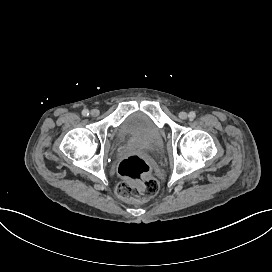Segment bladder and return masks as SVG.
<instances>
[{"instance_id":"1","label":"bladder","mask_w":272,"mask_h":272,"mask_svg":"<svg viewBox=\"0 0 272 272\" xmlns=\"http://www.w3.org/2000/svg\"><path fill=\"white\" fill-rule=\"evenodd\" d=\"M118 144H136L142 148L158 147L164 144L161 129L151 119L132 114L127 117L118 129Z\"/></svg>"}]
</instances>
